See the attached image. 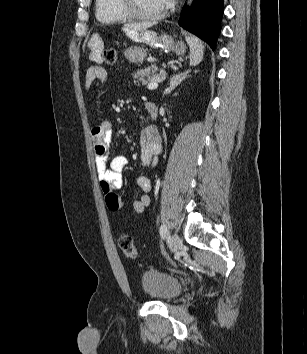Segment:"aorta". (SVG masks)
<instances>
[{"instance_id": "aorta-1", "label": "aorta", "mask_w": 307, "mask_h": 354, "mask_svg": "<svg viewBox=\"0 0 307 354\" xmlns=\"http://www.w3.org/2000/svg\"><path fill=\"white\" fill-rule=\"evenodd\" d=\"M193 0H188V4H191Z\"/></svg>"}]
</instances>
